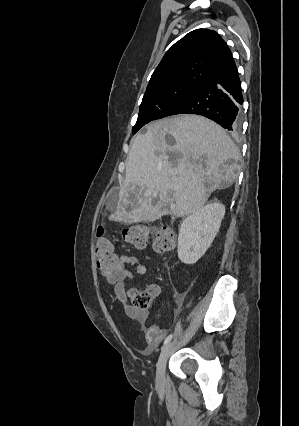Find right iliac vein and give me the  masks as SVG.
<instances>
[{"mask_svg":"<svg viewBox=\"0 0 299 426\" xmlns=\"http://www.w3.org/2000/svg\"><path fill=\"white\" fill-rule=\"evenodd\" d=\"M173 345V342L167 343L161 350L156 369V385L158 387H161L164 383L166 362Z\"/></svg>","mask_w":299,"mask_h":426,"instance_id":"63e3f726","label":"right iliac vein"}]
</instances>
